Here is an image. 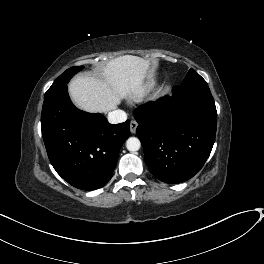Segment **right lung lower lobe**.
I'll return each mask as SVG.
<instances>
[{
	"label": "right lung lower lobe",
	"instance_id": "1",
	"mask_svg": "<svg viewBox=\"0 0 264 264\" xmlns=\"http://www.w3.org/2000/svg\"><path fill=\"white\" fill-rule=\"evenodd\" d=\"M130 121L112 125L101 114L77 109L67 85L44 97L41 129L49 160L56 172L82 190L103 187L116 167Z\"/></svg>",
	"mask_w": 264,
	"mask_h": 264
}]
</instances>
